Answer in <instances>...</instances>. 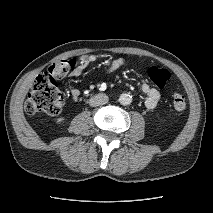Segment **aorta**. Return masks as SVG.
<instances>
[{
    "instance_id": "aorta-1",
    "label": "aorta",
    "mask_w": 213,
    "mask_h": 213,
    "mask_svg": "<svg viewBox=\"0 0 213 213\" xmlns=\"http://www.w3.org/2000/svg\"><path fill=\"white\" fill-rule=\"evenodd\" d=\"M119 102L122 105H129L132 102V96L127 93H123L119 97Z\"/></svg>"
}]
</instances>
